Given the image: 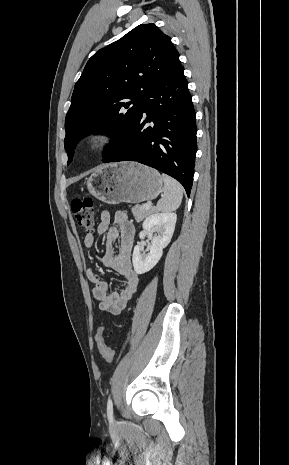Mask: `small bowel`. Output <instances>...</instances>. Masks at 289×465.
<instances>
[{
    "mask_svg": "<svg viewBox=\"0 0 289 465\" xmlns=\"http://www.w3.org/2000/svg\"><path fill=\"white\" fill-rule=\"evenodd\" d=\"M113 222L114 224L108 211L101 212L97 233L106 234L107 237V249L101 262L105 267L119 273L123 277V282L117 291L110 292L107 282L92 268L86 269V277L93 283L92 294L98 301L100 310L117 315L127 307L138 287L139 276L131 262L134 226L128 220L127 215L121 211L115 213ZM117 238H120V246L116 251L113 244ZM94 242L95 237L92 233L85 235L83 243L86 248H91Z\"/></svg>",
    "mask_w": 289,
    "mask_h": 465,
    "instance_id": "c3829d8e",
    "label": "small bowel"
}]
</instances>
